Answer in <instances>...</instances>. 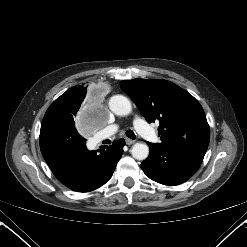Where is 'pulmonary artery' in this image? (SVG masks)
<instances>
[{"instance_id": "e3ab8cb5", "label": "pulmonary artery", "mask_w": 247, "mask_h": 247, "mask_svg": "<svg viewBox=\"0 0 247 247\" xmlns=\"http://www.w3.org/2000/svg\"><path fill=\"white\" fill-rule=\"evenodd\" d=\"M134 126L136 130L139 132V134H141L147 140L152 141V142H155L157 140V137L154 131L141 118L136 117L134 119ZM117 130H118V125L113 124V125L106 127L103 130L102 135L108 136V135L115 133Z\"/></svg>"}]
</instances>
